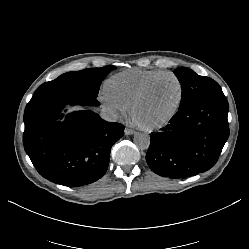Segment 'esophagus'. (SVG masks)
<instances>
[{"instance_id":"1","label":"esophagus","mask_w":249,"mask_h":249,"mask_svg":"<svg viewBox=\"0 0 249 249\" xmlns=\"http://www.w3.org/2000/svg\"><path fill=\"white\" fill-rule=\"evenodd\" d=\"M124 132L126 135H133L135 133V131L130 128H125Z\"/></svg>"}]
</instances>
